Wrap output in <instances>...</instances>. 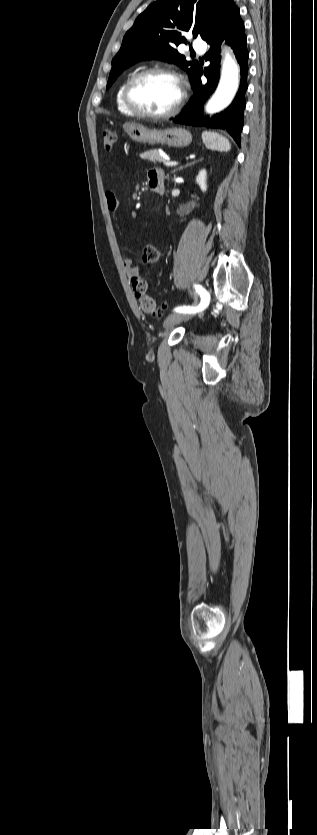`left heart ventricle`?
I'll return each mask as SVG.
<instances>
[{
	"mask_svg": "<svg viewBox=\"0 0 317 835\" xmlns=\"http://www.w3.org/2000/svg\"><path fill=\"white\" fill-rule=\"evenodd\" d=\"M132 95L141 109L161 113L175 105L180 96V88L171 77L155 74L142 79L134 87Z\"/></svg>",
	"mask_w": 317,
	"mask_h": 835,
	"instance_id": "1",
	"label": "left heart ventricle"
}]
</instances>
